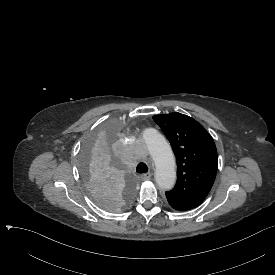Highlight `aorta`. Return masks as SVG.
I'll return each instance as SVG.
<instances>
[{
  "mask_svg": "<svg viewBox=\"0 0 275 275\" xmlns=\"http://www.w3.org/2000/svg\"><path fill=\"white\" fill-rule=\"evenodd\" d=\"M142 138L149 162L156 168L154 179L158 189L172 190L176 184L175 159L163 132L158 128L146 127Z\"/></svg>",
  "mask_w": 275,
  "mask_h": 275,
  "instance_id": "1",
  "label": "aorta"
}]
</instances>
